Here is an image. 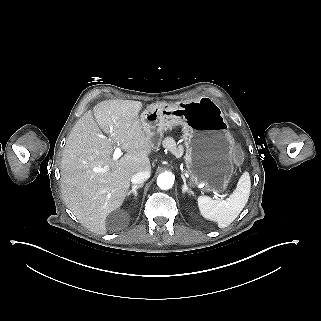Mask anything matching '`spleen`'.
<instances>
[{"label": "spleen", "mask_w": 321, "mask_h": 321, "mask_svg": "<svg viewBox=\"0 0 321 321\" xmlns=\"http://www.w3.org/2000/svg\"><path fill=\"white\" fill-rule=\"evenodd\" d=\"M250 194V177L247 172L240 177L236 189L226 200H213L199 196L197 205L200 215L206 220L216 222L219 228L229 226L245 207Z\"/></svg>", "instance_id": "3e777b00"}]
</instances>
